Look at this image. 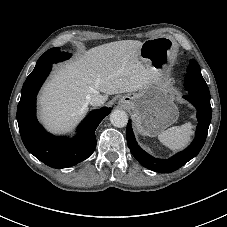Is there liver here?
<instances>
[{
  "label": "liver",
  "instance_id": "1",
  "mask_svg": "<svg viewBox=\"0 0 227 227\" xmlns=\"http://www.w3.org/2000/svg\"><path fill=\"white\" fill-rule=\"evenodd\" d=\"M141 41L122 40L103 44L58 69L39 97L40 119L56 133L70 130L88 111L86 98L142 90L158 78L153 67L139 57Z\"/></svg>",
  "mask_w": 227,
  "mask_h": 227
}]
</instances>
